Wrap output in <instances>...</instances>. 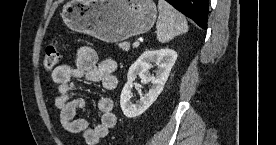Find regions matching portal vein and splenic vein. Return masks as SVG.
Masks as SVG:
<instances>
[{
  "label": "portal vein and splenic vein",
  "instance_id": "obj_1",
  "mask_svg": "<svg viewBox=\"0 0 276 145\" xmlns=\"http://www.w3.org/2000/svg\"><path fill=\"white\" fill-rule=\"evenodd\" d=\"M139 45H140V43H139L138 41H135V42L133 43V47H139Z\"/></svg>",
  "mask_w": 276,
  "mask_h": 145
}]
</instances>
